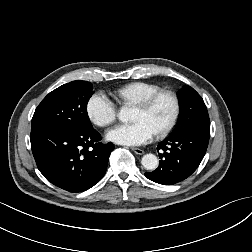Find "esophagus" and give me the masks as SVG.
<instances>
[{"label": "esophagus", "mask_w": 252, "mask_h": 252, "mask_svg": "<svg viewBox=\"0 0 252 252\" xmlns=\"http://www.w3.org/2000/svg\"><path fill=\"white\" fill-rule=\"evenodd\" d=\"M133 152H135L138 155H143L144 154V150L140 149V148H131Z\"/></svg>", "instance_id": "34e87169"}]
</instances>
